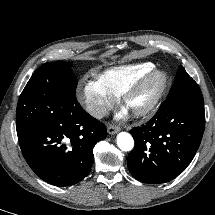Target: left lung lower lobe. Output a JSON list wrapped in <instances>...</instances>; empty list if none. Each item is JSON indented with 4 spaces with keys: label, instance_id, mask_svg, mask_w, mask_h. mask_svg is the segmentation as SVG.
<instances>
[{
    "label": "left lung lower lobe",
    "instance_id": "0a47b994",
    "mask_svg": "<svg viewBox=\"0 0 215 215\" xmlns=\"http://www.w3.org/2000/svg\"><path fill=\"white\" fill-rule=\"evenodd\" d=\"M204 127V103L167 99L146 125L130 131L135 140L127 160L131 174L143 183L171 181L194 158Z\"/></svg>",
    "mask_w": 215,
    "mask_h": 215
}]
</instances>
